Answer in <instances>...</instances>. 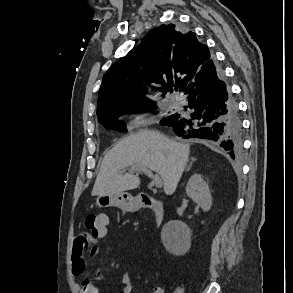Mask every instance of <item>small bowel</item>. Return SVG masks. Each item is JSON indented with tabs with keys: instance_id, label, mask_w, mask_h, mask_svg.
Returning <instances> with one entry per match:
<instances>
[{
	"instance_id": "1",
	"label": "small bowel",
	"mask_w": 293,
	"mask_h": 293,
	"mask_svg": "<svg viewBox=\"0 0 293 293\" xmlns=\"http://www.w3.org/2000/svg\"><path fill=\"white\" fill-rule=\"evenodd\" d=\"M106 234L107 228H105L104 232L98 236H94L84 231L76 236L73 244L71 263L74 275L79 277L85 275L89 259L100 252L99 240L104 238ZM96 279L102 280L101 274L97 273ZM78 289L80 293H99V288L86 277H84L83 281L78 284ZM120 289L121 293H141L135 291L131 275L128 272H125L121 277ZM156 293H163V290L158 289Z\"/></svg>"
}]
</instances>
